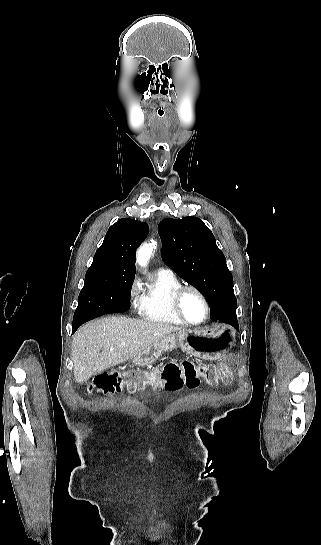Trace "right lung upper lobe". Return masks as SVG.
<instances>
[{"label":"right lung upper lobe","instance_id":"cb5924a9","mask_svg":"<svg viewBox=\"0 0 321 545\" xmlns=\"http://www.w3.org/2000/svg\"><path fill=\"white\" fill-rule=\"evenodd\" d=\"M148 229L144 222L119 219L108 229L88 271L135 275V250L147 236Z\"/></svg>","mask_w":321,"mask_h":545}]
</instances>
